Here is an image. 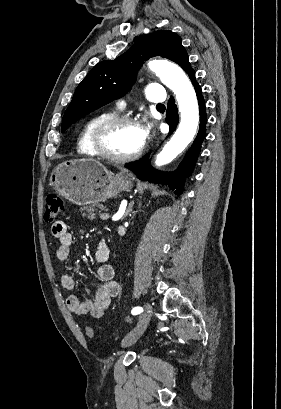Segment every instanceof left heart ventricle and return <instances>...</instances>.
Listing matches in <instances>:
<instances>
[{"label":"left heart ventricle","mask_w":281,"mask_h":409,"mask_svg":"<svg viewBox=\"0 0 281 409\" xmlns=\"http://www.w3.org/2000/svg\"><path fill=\"white\" fill-rule=\"evenodd\" d=\"M142 143L140 129L126 124L112 127L105 137L107 150L117 156H124L135 152Z\"/></svg>","instance_id":"obj_1"}]
</instances>
